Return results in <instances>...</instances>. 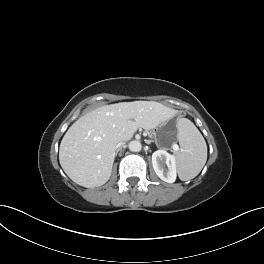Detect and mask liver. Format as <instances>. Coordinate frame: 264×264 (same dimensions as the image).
<instances>
[{"mask_svg": "<svg viewBox=\"0 0 264 264\" xmlns=\"http://www.w3.org/2000/svg\"><path fill=\"white\" fill-rule=\"evenodd\" d=\"M175 111L154 101L104 105L80 117L65 133L59 162L75 183L86 188L104 185L110 178L116 144L128 141L138 128L151 130Z\"/></svg>", "mask_w": 264, "mask_h": 264, "instance_id": "obj_1", "label": "liver"}]
</instances>
